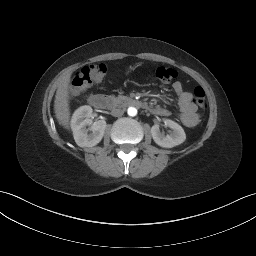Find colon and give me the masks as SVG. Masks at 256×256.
Masks as SVG:
<instances>
[{
  "instance_id": "obj_1",
  "label": "colon",
  "mask_w": 256,
  "mask_h": 256,
  "mask_svg": "<svg viewBox=\"0 0 256 256\" xmlns=\"http://www.w3.org/2000/svg\"><path fill=\"white\" fill-rule=\"evenodd\" d=\"M106 73V66L102 63H96L86 66L76 72L71 81V94L77 96L85 91L92 83L102 80ZM154 77L162 83H171L177 73L174 69L159 66L153 70ZM193 102L200 110L207 107L206 94L202 87L197 86L193 90Z\"/></svg>"
}]
</instances>
